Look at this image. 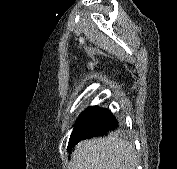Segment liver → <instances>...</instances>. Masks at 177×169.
I'll use <instances>...</instances> for the list:
<instances>
[{
    "label": "liver",
    "instance_id": "6515ba94",
    "mask_svg": "<svg viewBox=\"0 0 177 169\" xmlns=\"http://www.w3.org/2000/svg\"><path fill=\"white\" fill-rule=\"evenodd\" d=\"M133 146L115 135L89 139L76 145L69 169H135Z\"/></svg>",
    "mask_w": 177,
    "mask_h": 169
}]
</instances>
